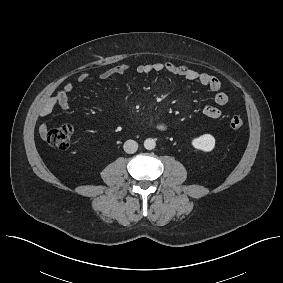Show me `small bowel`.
Returning <instances> with one entry per match:
<instances>
[{
    "label": "small bowel",
    "instance_id": "1",
    "mask_svg": "<svg viewBox=\"0 0 283 283\" xmlns=\"http://www.w3.org/2000/svg\"><path fill=\"white\" fill-rule=\"evenodd\" d=\"M140 74H149L153 72H167L172 75L182 77L188 81L197 82L202 86L207 87L212 92H215L214 102L215 105H207L203 109V113L206 117L211 119H218L222 115L221 107L225 106L228 101V95L221 91V81L214 75L208 73H201L194 69H191L185 65H177L171 62H156V63H145L140 64L136 68ZM130 71V66L127 64L117 65L110 69L103 71L99 78L101 80H107L116 75H123ZM88 79L87 73H81L77 80L79 83H84ZM73 91V85L71 82H66L56 93L50 95L40 107L38 111L39 117L48 116L52 110L59 106L62 109L70 108L69 95ZM155 128L158 131H165L166 125L164 123H157ZM41 135H45L47 132V125L41 124L39 127Z\"/></svg>",
    "mask_w": 283,
    "mask_h": 283
}]
</instances>
